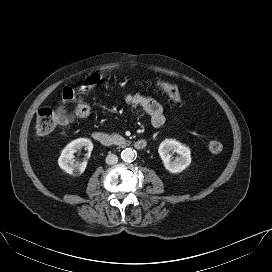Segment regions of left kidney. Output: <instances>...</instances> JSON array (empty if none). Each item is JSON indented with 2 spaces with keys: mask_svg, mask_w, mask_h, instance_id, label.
I'll return each instance as SVG.
<instances>
[{
  "mask_svg": "<svg viewBox=\"0 0 272 272\" xmlns=\"http://www.w3.org/2000/svg\"><path fill=\"white\" fill-rule=\"evenodd\" d=\"M171 152H176L180 156L173 159ZM158 153L165 168L171 173H180L191 163L190 149L174 139H165L161 142Z\"/></svg>",
  "mask_w": 272,
  "mask_h": 272,
  "instance_id": "5707ae66",
  "label": "left kidney"
}]
</instances>
